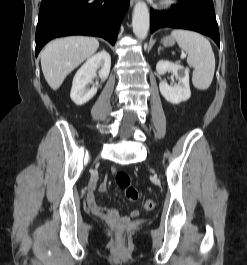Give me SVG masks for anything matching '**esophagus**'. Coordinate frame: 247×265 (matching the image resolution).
Instances as JSON below:
<instances>
[{"label":"esophagus","mask_w":247,"mask_h":265,"mask_svg":"<svg viewBox=\"0 0 247 265\" xmlns=\"http://www.w3.org/2000/svg\"><path fill=\"white\" fill-rule=\"evenodd\" d=\"M136 2V0H131V4H134Z\"/></svg>","instance_id":"obj_1"}]
</instances>
